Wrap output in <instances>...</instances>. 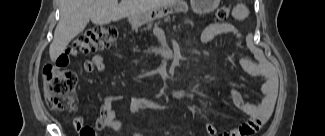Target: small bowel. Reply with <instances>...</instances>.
Instances as JSON below:
<instances>
[{
	"mask_svg": "<svg viewBox=\"0 0 325 136\" xmlns=\"http://www.w3.org/2000/svg\"><path fill=\"white\" fill-rule=\"evenodd\" d=\"M224 34L234 35L236 38H240L241 34L237 27H235L231 23H216L212 22L208 24L200 34V40L203 43H210L218 36ZM80 47L75 44H68L67 48L63 49V53H58L56 62H57V71L61 72V74H65V79L68 82L69 88L75 87L74 80H78L80 75L78 73H74V69L67 68V62L69 59V55H73L75 50H78ZM258 62L254 63L247 58L242 59V65L244 68L252 75L259 76L263 78L264 82L261 88L262 98L261 102L257 105L247 102L244 97L236 90L230 91V96L234 102V105L245 114L249 116V118L240 124L228 131L223 132V136H247L252 133V131H256L260 128L261 124L266 122L270 116L272 111L275 94H276V79L271 72L268 64L262 58L261 55H257ZM106 68L105 59L101 55L94 56L91 60H87L84 63V70L87 73H91L93 71L102 72ZM167 94L175 100H184V99H195V95L193 93L184 91V90H167ZM123 99V95L121 94H110L108 95L102 104L100 117L96 121L94 127H88L84 124V119L82 117H76L74 119L75 128L81 133L84 130L94 129L98 131L102 128H108L114 132H117L122 127V122L116 119V111L114 109V104L117 101ZM145 107V102L139 98H131L128 104V111L130 113H135L140 111ZM75 107H73L74 109ZM206 131L210 135H214L216 133L215 127L207 123Z\"/></svg>",
	"mask_w": 325,
	"mask_h": 136,
	"instance_id": "c3829d8e",
	"label": "small bowel"
}]
</instances>
